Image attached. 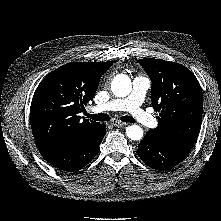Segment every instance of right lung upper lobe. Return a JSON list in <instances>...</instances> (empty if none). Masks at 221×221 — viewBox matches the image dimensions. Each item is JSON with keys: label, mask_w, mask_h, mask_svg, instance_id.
I'll return each instance as SVG.
<instances>
[{"label": "right lung upper lobe", "mask_w": 221, "mask_h": 221, "mask_svg": "<svg viewBox=\"0 0 221 221\" xmlns=\"http://www.w3.org/2000/svg\"><path fill=\"white\" fill-rule=\"evenodd\" d=\"M112 64V61L68 63L41 81L30 109L35 142L69 144L101 126L78 114L93 99L101 76Z\"/></svg>", "instance_id": "1"}]
</instances>
